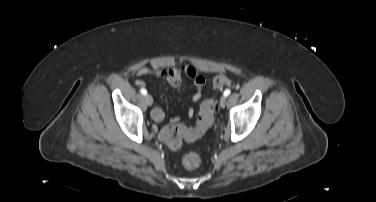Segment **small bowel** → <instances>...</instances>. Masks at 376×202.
Listing matches in <instances>:
<instances>
[{
    "label": "small bowel",
    "instance_id": "small-bowel-1",
    "mask_svg": "<svg viewBox=\"0 0 376 202\" xmlns=\"http://www.w3.org/2000/svg\"><path fill=\"white\" fill-rule=\"evenodd\" d=\"M147 75H153L156 77H160L165 79L172 87H179L182 83L183 77H188L192 79L195 91L192 95V100L194 102H197L200 100L202 96V90L205 85V79L199 75L196 71V69L190 65L183 66L182 68H161V67H153V68H141L137 71V76L139 77L136 79L135 84L138 87H144L145 86V80L142 79V77ZM186 114L188 117L194 116V109L189 108L186 111ZM151 116L152 119L155 122H162L164 119V112L162 108L155 104L151 110ZM172 124H178L180 122L179 117H172L170 119Z\"/></svg>",
    "mask_w": 376,
    "mask_h": 202
}]
</instances>
